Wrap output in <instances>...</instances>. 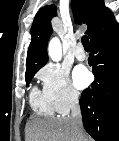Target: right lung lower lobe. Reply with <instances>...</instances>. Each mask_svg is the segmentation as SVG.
<instances>
[{"label":"right lung lower lobe","instance_id":"obj_1","mask_svg":"<svg viewBox=\"0 0 119 141\" xmlns=\"http://www.w3.org/2000/svg\"><path fill=\"white\" fill-rule=\"evenodd\" d=\"M90 42L95 80L81 95L83 125L96 141H118L119 26L113 16L97 28Z\"/></svg>","mask_w":119,"mask_h":141}]
</instances>
